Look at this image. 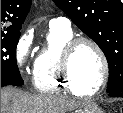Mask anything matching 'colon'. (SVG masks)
I'll use <instances>...</instances> for the list:
<instances>
[{"instance_id": "5ec220e1", "label": "colon", "mask_w": 123, "mask_h": 113, "mask_svg": "<svg viewBox=\"0 0 123 113\" xmlns=\"http://www.w3.org/2000/svg\"><path fill=\"white\" fill-rule=\"evenodd\" d=\"M120 113H123V107L121 108Z\"/></svg>"}]
</instances>
